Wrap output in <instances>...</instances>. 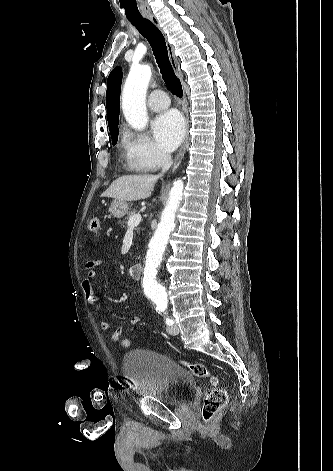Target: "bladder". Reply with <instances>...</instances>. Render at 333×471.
Returning <instances> with one entry per match:
<instances>
[{
	"label": "bladder",
	"instance_id": "obj_1",
	"mask_svg": "<svg viewBox=\"0 0 333 471\" xmlns=\"http://www.w3.org/2000/svg\"><path fill=\"white\" fill-rule=\"evenodd\" d=\"M122 371L131 381L135 394L166 405L185 403L196 388V380L188 369L152 350L139 349L127 353Z\"/></svg>",
	"mask_w": 333,
	"mask_h": 471
}]
</instances>
